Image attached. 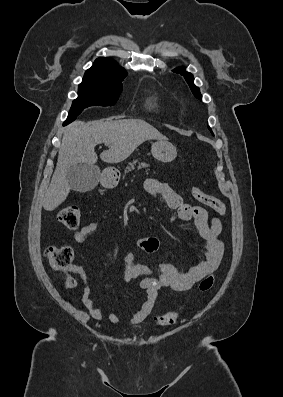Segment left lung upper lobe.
<instances>
[{
  "label": "left lung upper lobe",
  "mask_w": 283,
  "mask_h": 397,
  "mask_svg": "<svg viewBox=\"0 0 283 397\" xmlns=\"http://www.w3.org/2000/svg\"><path fill=\"white\" fill-rule=\"evenodd\" d=\"M173 72L179 73L180 75L184 76V78H185L186 82L189 84V86L191 88V91L194 94V96L196 98H198V99L202 98L199 88L196 87L194 85V83H193L194 82V77H193L192 74L186 72L185 68H183V67H178V68L174 69ZM210 131H211V129H210Z\"/></svg>",
  "instance_id": "obj_1"
}]
</instances>
